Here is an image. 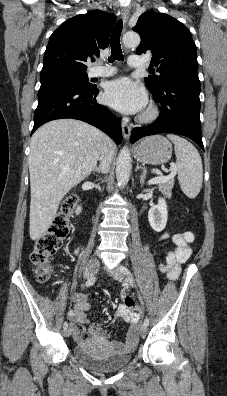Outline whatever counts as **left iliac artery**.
Masks as SVG:
<instances>
[{
  "mask_svg": "<svg viewBox=\"0 0 227 396\" xmlns=\"http://www.w3.org/2000/svg\"><path fill=\"white\" fill-rule=\"evenodd\" d=\"M122 271H123V273H124L125 275H127V276L131 275L130 270H129L128 268L124 267V266H122ZM139 298H140L141 303L144 304L142 297L139 296ZM144 325H145L146 327L149 325V319H148L147 317H146L145 320H144Z\"/></svg>",
  "mask_w": 227,
  "mask_h": 396,
  "instance_id": "obj_1",
  "label": "left iliac artery"
}]
</instances>
